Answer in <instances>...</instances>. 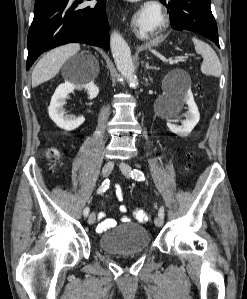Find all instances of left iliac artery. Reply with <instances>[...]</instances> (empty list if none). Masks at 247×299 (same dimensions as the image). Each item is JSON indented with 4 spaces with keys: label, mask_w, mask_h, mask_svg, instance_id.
<instances>
[{
    "label": "left iliac artery",
    "mask_w": 247,
    "mask_h": 299,
    "mask_svg": "<svg viewBox=\"0 0 247 299\" xmlns=\"http://www.w3.org/2000/svg\"><path fill=\"white\" fill-rule=\"evenodd\" d=\"M131 177L135 180H138V181H141V180H145L144 178V174L143 172H141L140 170L138 169H134L132 172H131ZM158 215L161 217V218H164V207H160L159 209V212H158Z\"/></svg>",
    "instance_id": "44dca946"
}]
</instances>
